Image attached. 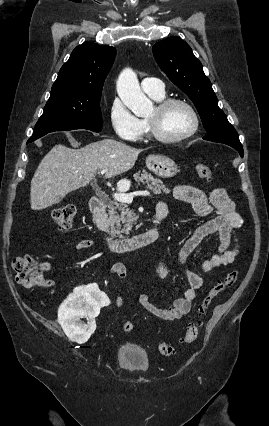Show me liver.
Masks as SVG:
<instances>
[{
    "mask_svg": "<svg viewBox=\"0 0 269 426\" xmlns=\"http://www.w3.org/2000/svg\"><path fill=\"white\" fill-rule=\"evenodd\" d=\"M139 153V149L113 139L96 141L81 149L55 145L41 160L31 180V209L58 204L69 192L87 186L98 170H107L105 178L130 170Z\"/></svg>",
    "mask_w": 269,
    "mask_h": 426,
    "instance_id": "1",
    "label": "liver"
}]
</instances>
